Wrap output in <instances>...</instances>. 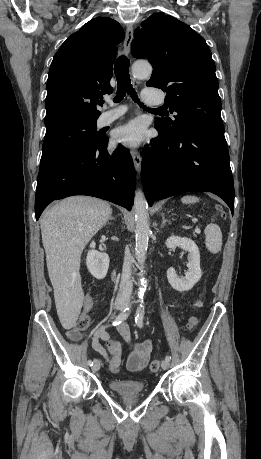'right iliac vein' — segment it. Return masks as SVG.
<instances>
[{
    "instance_id": "obj_1",
    "label": "right iliac vein",
    "mask_w": 261,
    "mask_h": 459,
    "mask_svg": "<svg viewBox=\"0 0 261 459\" xmlns=\"http://www.w3.org/2000/svg\"><path fill=\"white\" fill-rule=\"evenodd\" d=\"M124 307H125V305L122 304V303H118V304L115 305V308L118 309V310H122V309H124ZM100 365H101L100 361L96 359L94 361L93 366H92V371L93 372H97L100 369Z\"/></svg>"
}]
</instances>
